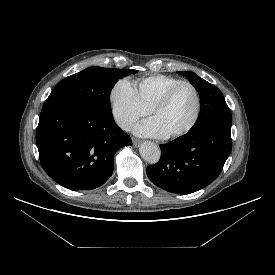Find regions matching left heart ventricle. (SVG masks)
Here are the masks:
<instances>
[{"mask_svg": "<svg viewBox=\"0 0 275 275\" xmlns=\"http://www.w3.org/2000/svg\"><path fill=\"white\" fill-rule=\"evenodd\" d=\"M195 109L196 98L193 90L183 86L176 91L169 104L158 110L153 118L167 135L184 128L193 118Z\"/></svg>", "mask_w": 275, "mask_h": 275, "instance_id": "left-heart-ventricle-1", "label": "left heart ventricle"}]
</instances>
